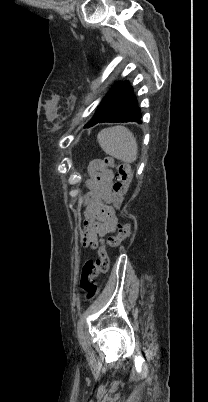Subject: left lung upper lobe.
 Segmentation results:
<instances>
[{
	"label": "left lung upper lobe",
	"mask_w": 208,
	"mask_h": 402,
	"mask_svg": "<svg viewBox=\"0 0 208 402\" xmlns=\"http://www.w3.org/2000/svg\"><path fill=\"white\" fill-rule=\"evenodd\" d=\"M131 87L128 82L116 84L112 90L106 95L98 107L93 119L86 125L89 126L102 118L113 106L120 102L124 96L128 93Z\"/></svg>",
	"instance_id": "obj_1"
}]
</instances>
